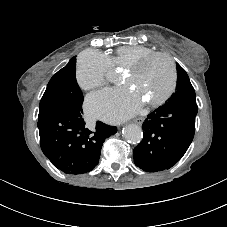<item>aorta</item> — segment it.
Wrapping results in <instances>:
<instances>
[{
    "mask_svg": "<svg viewBox=\"0 0 227 227\" xmlns=\"http://www.w3.org/2000/svg\"><path fill=\"white\" fill-rule=\"evenodd\" d=\"M123 136L131 143H139L143 138V131L141 127L136 124H129L123 128Z\"/></svg>",
    "mask_w": 227,
    "mask_h": 227,
    "instance_id": "obj_1",
    "label": "aorta"
}]
</instances>
